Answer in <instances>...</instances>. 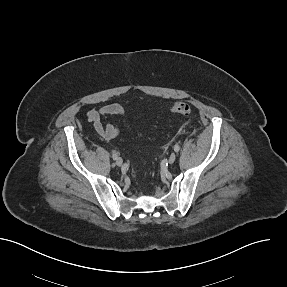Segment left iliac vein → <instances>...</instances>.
<instances>
[{"instance_id":"1","label":"left iliac vein","mask_w":287,"mask_h":287,"mask_svg":"<svg viewBox=\"0 0 287 287\" xmlns=\"http://www.w3.org/2000/svg\"><path fill=\"white\" fill-rule=\"evenodd\" d=\"M175 160H176V154H175V153H172V154L170 155L169 159H168V162H169L170 164H172V163L175 162Z\"/></svg>"}]
</instances>
